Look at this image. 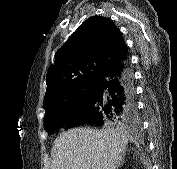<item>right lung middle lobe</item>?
Returning a JSON list of instances; mask_svg holds the SVG:
<instances>
[{"mask_svg": "<svg viewBox=\"0 0 177 169\" xmlns=\"http://www.w3.org/2000/svg\"><path fill=\"white\" fill-rule=\"evenodd\" d=\"M95 93V82H89L71 92L64 100L45 107L44 129L53 133L83 113L93 101Z\"/></svg>", "mask_w": 177, "mask_h": 169, "instance_id": "right-lung-middle-lobe-1", "label": "right lung middle lobe"}]
</instances>
